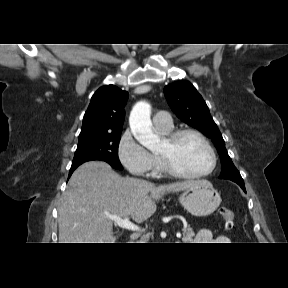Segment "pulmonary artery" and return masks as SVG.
Here are the masks:
<instances>
[{
    "instance_id": "1",
    "label": "pulmonary artery",
    "mask_w": 288,
    "mask_h": 288,
    "mask_svg": "<svg viewBox=\"0 0 288 288\" xmlns=\"http://www.w3.org/2000/svg\"><path fill=\"white\" fill-rule=\"evenodd\" d=\"M154 126L159 130H170L173 127L171 115L166 111L158 112L153 118Z\"/></svg>"
}]
</instances>
